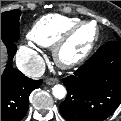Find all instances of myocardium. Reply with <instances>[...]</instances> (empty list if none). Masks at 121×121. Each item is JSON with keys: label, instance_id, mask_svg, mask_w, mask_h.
<instances>
[{"label": "myocardium", "instance_id": "obj_1", "mask_svg": "<svg viewBox=\"0 0 121 121\" xmlns=\"http://www.w3.org/2000/svg\"><path fill=\"white\" fill-rule=\"evenodd\" d=\"M92 25V22L90 21H79L75 25L68 28L63 34L55 41V43L52 46V54L53 58L56 62V64L63 69H72L75 68L82 63H84L87 58L90 56V54L93 52L94 48L96 47L99 39H100V29L97 25H94L96 29V35L91 42V44L88 46V48L80 55L70 58V59H64L62 56V50L65 47V45L70 41L72 36L83 26ZM93 26V25H92Z\"/></svg>", "mask_w": 121, "mask_h": 121}]
</instances>
